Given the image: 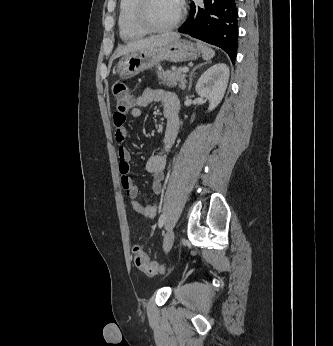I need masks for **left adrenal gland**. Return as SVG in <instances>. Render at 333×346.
I'll use <instances>...</instances> for the list:
<instances>
[{
	"label": "left adrenal gland",
	"instance_id": "left-adrenal-gland-1",
	"mask_svg": "<svg viewBox=\"0 0 333 346\" xmlns=\"http://www.w3.org/2000/svg\"><path fill=\"white\" fill-rule=\"evenodd\" d=\"M205 64H206V63H201V64L195 66V67L193 68V70L191 71V73H190V75H189V86H188V90H190L191 87H192V76H193L195 70L198 69L199 67L205 65Z\"/></svg>",
	"mask_w": 333,
	"mask_h": 346
}]
</instances>
